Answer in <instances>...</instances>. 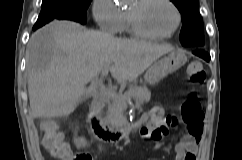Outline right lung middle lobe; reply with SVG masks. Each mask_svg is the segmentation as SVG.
I'll return each mask as SVG.
<instances>
[{
    "mask_svg": "<svg viewBox=\"0 0 242 160\" xmlns=\"http://www.w3.org/2000/svg\"><path fill=\"white\" fill-rule=\"evenodd\" d=\"M92 0H43L41 12L33 30L42 27L53 19L73 20L85 24L87 9Z\"/></svg>",
    "mask_w": 242,
    "mask_h": 160,
    "instance_id": "right-lung-middle-lobe-1",
    "label": "right lung middle lobe"
}]
</instances>
